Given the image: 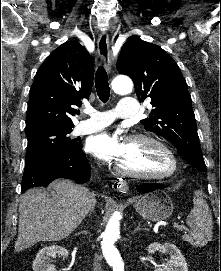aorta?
<instances>
[{"label": "aorta", "instance_id": "obj_1", "mask_svg": "<svg viewBox=\"0 0 221 271\" xmlns=\"http://www.w3.org/2000/svg\"><path fill=\"white\" fill-rule=\"evenodd\" d=\"M112 89L118 94H128L133 89V83L128 77H116L112 81ZM120 236L119 214L114 213L102 234V252L107 263L113 268V271H124V262L115 247V242Z\"/></svg>", "mask_w": 221, "mask_h": 271}]
</instances>
